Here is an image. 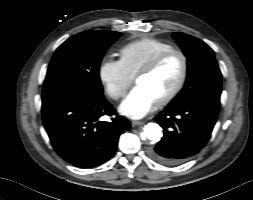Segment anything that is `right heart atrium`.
Returning <instances> with one entry per match:
<instances>
[{
  "instance_id": "obj_1",
  "label": "right heart atrium",
  "mask_w": 253,
  "mask_h": 200,
  "mask_svg": "<svg viewBox=\"0 0 253 200\" xmlns=\"http://www.w3.org/2000/svg\"><path fill=\"white\" fill-rule=\"evenodd\" d=\"M98 78L107 94L113 100L123 97L131 83L119 60L103 58L98 66Z\"/></svg>"
}]
</instances>
